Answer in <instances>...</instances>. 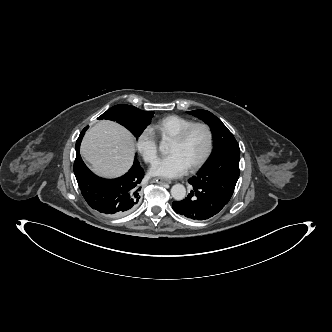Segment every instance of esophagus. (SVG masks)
Wrapping results in <instances>:
<instances>
[{
	"instance_id": "obj_1",
	"label": "esophagus",
	"mask_w": 332,
	"mask_h": 332,
	"mask_svg": "<svg viewBox=\"0 0 332 332\" xmlns=\"http://www.w3.org/2000/svg\"><path fill=\"white\" fill-rule=\"evenodd\" d=\"M154 181L157 182V183H159V184H164V183L170 184L171 183L170 180L165 179V178H155Z\"/></svg>"
}]
</instances>
